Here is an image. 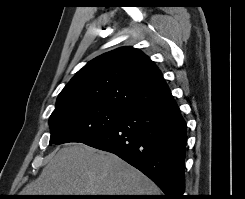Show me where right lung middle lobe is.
<instances>
[{
    "mask_svg": "<svg viewBox=\"0 0 245 199\" xmlns=\"http://www.w3.org/2000/svg\"><path fill=\"white\" fill-rule=\"evenodd\" d=\"M129 112L98 104H78L54 110L50 144L86 142L118 124Z\"/></svg>",
    "mask_w": 245,
    "mask_h": 199,
    "instance_id": "obj_1",
    "label": "right lung middle lobe"
}]
</instances>
